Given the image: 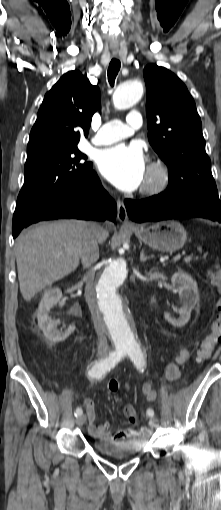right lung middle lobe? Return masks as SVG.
<instances>
[{
  "instance_id": "1",
  "label": "right lung middle lobe",
  "mask_w": 221,
  "mask_h": 510,
  "mask_svg": "<svg viewBox=\"0 0 221 510\" xmlns=\"http://www.w3.org/2000/svg\"><path fill=\"white\" fill-rule=\"evenodd\" d=\"M86 159L77 145L28 154L14 217L25 219L44 201L84 181L92 171V163L83 162Z\"/></svg>"
}]
</instances>
